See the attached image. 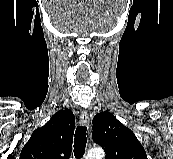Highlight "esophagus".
<instances>
[{"mask_svg": "<svg viewBox=\"0 0 173 159\" xmlns=\"http://www.w3.org/2000/svg\"><path fill=\"white\" fill-rule=\"evenodd\" d=\"M79 121L83 126L89 127V115L86 111H82Z\"/></svg>", "mask_w": 173, "mask_h": 159, "instance_id": "34e87169", "label": "esophagus"}]
</instances>
